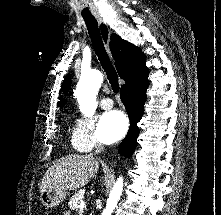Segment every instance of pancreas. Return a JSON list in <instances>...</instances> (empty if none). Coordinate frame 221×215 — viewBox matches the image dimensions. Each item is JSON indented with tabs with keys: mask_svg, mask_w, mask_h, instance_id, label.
<instances>
[{
	"mask_svg": "<svg viewBox=\"0 0 221 215\" xmlns=\"http://www.w3.org/2000/svg\"><path fill=\"white\" fill-rule=\"evenodd\" d=\"M84 194V192H77L71 197L69 202V207L71 210H79V203L84 198Z\"/></svg>",
	"mask_w": 221,
	"mask_h": 215,
	"instance_id": "pancreas-1",
	"label": "pancreas"
}]
</instances>
